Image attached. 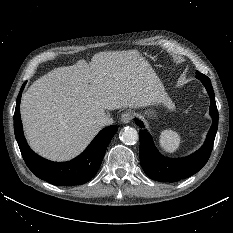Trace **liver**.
<instances>
[{
	"instance_id": "liver-1",
	"label": "liver",
	"mask_w": 233,
	"mask_h": 233,
	"mask_svg": "<svg viewBox=\"0 0 233 233\" xmlns=\"http://www.w3.org/2000/svg\"><path fill=\"white\" fill-rule=\"evenodd\" d=\"M159 81L137 50L96 53L37 79L22 95L20 112L26 138L39 155L65 161L80 154L101 130L108 111L161 103Z\"/></svg>"
}]
</instances>
